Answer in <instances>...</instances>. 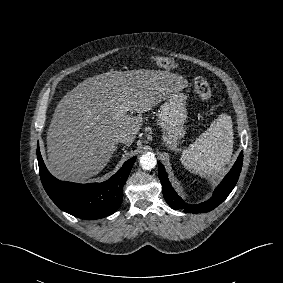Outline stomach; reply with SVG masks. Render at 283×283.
Returning <instances> with one entry per match:
<instances>
[{
	"instance_id": "obj_1",
	"label": "stomach",
	"mask_w": 283,
	"mask_h": 283,
	"mask_svg": "<svg viewBox=\"0 0 283 283\" xmlns=\"http://www.w3.org/2000/svg\"><path fill=\"white\" fill-rule=\"evenodd\" d=\"M187 120L186 95L172 93L158 112V124L162 129L165 144L175 149L185 135L184 124Z\"/></svg>"
}]
</instances>
